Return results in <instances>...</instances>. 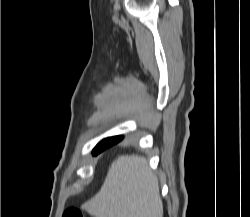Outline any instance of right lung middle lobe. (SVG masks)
I'll list each match as a JSON object with an SVG mask.
<instances>
[{
	"label": "right lung middle lobe",
	"instance_id": "1",
	"mask_svg": "<svg viewBox=\"0 0 250 217\" xmlns=\"http://www.w3.org/2000/svg\"><path fill=\"white\" fill-rule=\"evenodd\" d=\"M122 139H123V136H114V137H109V138L102 140L94 148L93 155L99 154L100 152L104 151L105 149L109 148L110 146L118 143Z\"/></svg>",
	"mask_w": 250,
	"mask_h": 217
}]
</instances>
